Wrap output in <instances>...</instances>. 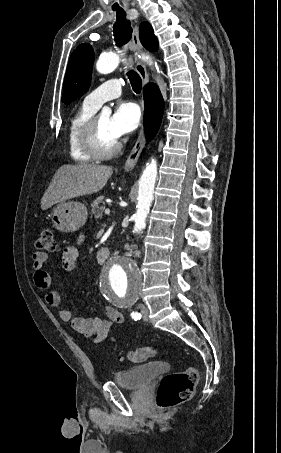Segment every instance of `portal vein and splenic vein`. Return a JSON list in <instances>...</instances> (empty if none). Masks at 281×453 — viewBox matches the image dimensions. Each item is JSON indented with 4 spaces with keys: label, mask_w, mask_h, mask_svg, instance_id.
I'll return each instance as SVG.
<instances>
[{
    "label": "portal vein and splenic vein",
    "mask_w": 281,
    "mask_h": 453,
    "mask_svg": "<svg viewBox=\"0 0 281 453\" xmlns=\"http://www.w3.org/2000/svg\"><path fill=\"white\" fill-rule=\"evenodd\" d=\"M105 212H106V214H109L110 208H105Z\"/></svg>",
    "instance_id": "1"
}]
</instances>
